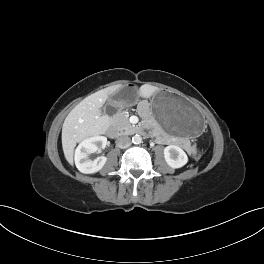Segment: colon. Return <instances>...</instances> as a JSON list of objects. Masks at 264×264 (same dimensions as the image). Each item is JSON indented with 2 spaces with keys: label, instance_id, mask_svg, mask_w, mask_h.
<instances>
[{
  "label": "colon",
  "instance_id": "5ec220e1",
  "mask_svg": "<svg viewBox=\"0 0 264 264\" xmlns=\"http://www.w3.org/2000/svg\"><path fill=\"white\" fill-rule=\"evenodd\" d=\"M200 154H201L200 151H197V152L195 153L196 156H200Z\"/></svg>",
  "mask_w": 264,
  "mask_h": 264
}]
</instances>
